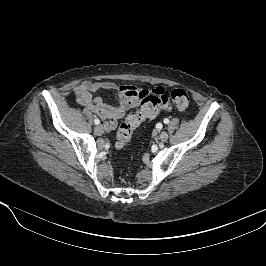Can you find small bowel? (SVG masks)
Segmentation results:
<instances>
[{"instance_id":"1","label":"small bowel","mask_w":266,"mask_h":266,"mask_svg":"<svg viewBox=\"0 0 266 266\" xmlns=\"http://www.w3.org/2000/svg\"><path fill=\"white\" fill-rule=\"evenodd\" d=\"M101 89L115 91L117 103L110 105L94 97L93 93ZM161 91H164L161 87L147 90L132 85H117L111 81H84L74 89L77 103L105 120L104 126L108 131L114 130L117 120L140 104L144 94Z\"/></svg>"}]
</instances>
